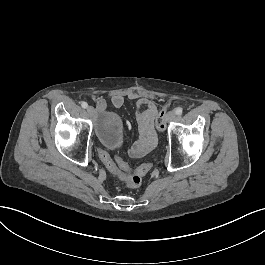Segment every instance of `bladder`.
I'll return each mask as SVG.
<instances>
[{"label":"bladder","instance_id":"1","mask_svg":"<svg viewBox=\"0 0 265 265\" xmlns=\"http://www.w3.org/2000/svg\"><path fill=\"white\" fill-rule=\"evenodd\" d=\"M96 135L104 147L111 150L119 148L124 139L122 118L115 112L100 113L96 124Z\"/></svg>","mask_w":265,"mask_h":265}]
</instances>
